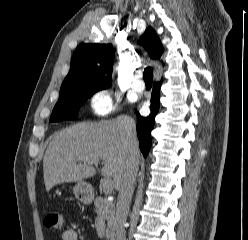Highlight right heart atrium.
<instances>
[{
  "instance_id": "right-heart-atrium-1",
  "label": "right heart atrium",
  "mask_w": 248,
  "mask_h": 240,
  "mask_svg": "<svg viewBox=\"0 0 248 240\" xmlns=\"http://www.w3.org/2000/svg\"><path fill=\"white\" fill-rule=\"evenodd\" d=\"M90 112L96 117H106L118 106L109 89H98L92 92L88 99Z\"/></svg>"
}]
</instances>
